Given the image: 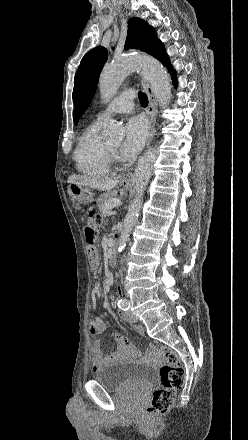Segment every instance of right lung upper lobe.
<instances>
[{
	"mask_svg": "<svg viewBox=\"0 0 248 440\" xmlns=\"http://www.w3.org/2000/svg\"><path fill=\"white\" fill-rule=\"evenodd\" d=\"M74 121H75V124H77L78 116H77V113H76V112H74Z\"/></svg>",
	"mask_w": 248,
	"mask_h": 440,
	"instance_id": "right-lung-upper-lobe-1",
	"label": "right lung upper lobe"
}]
</instances>
